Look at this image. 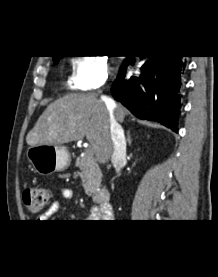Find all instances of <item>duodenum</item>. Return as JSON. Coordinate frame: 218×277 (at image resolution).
<instances>
[{"mask_svg": "<svg viewBox=\"0 0 218 277\" xmlns=\"http://www.w3.org/2000/svg\"><path fill=\"white\" fill-rule=\"evenodd\" d=\"M94 198L98 204L105 207L110 204L111 193L107 189H101L100 191L95 193Z\"/></svg>", "mask_w": 218, "mask_h": 277, "instance_id": "410a0bca", "label": "duodenum"}]
</instances>
